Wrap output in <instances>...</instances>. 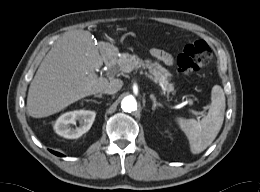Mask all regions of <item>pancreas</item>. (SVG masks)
<instances>
[{"label": "pancreas", "mask_w": 260, "mask_h": 192, "mask_svg": "<svg viewBox=\"0 0 260 192\" xmlns=\"http://www.w3.org/2000/svg\"><path fill=\"white\" fill-rule=\"evenodd\" d=\"M127 65L134 68H147L149 72L164 86L168 93L174 91L173 84L169 83L171 73L159 63L151 62L148 59L144 61L134 54L122 53L118 59V67L121 69L123 66Z\"/></svg>", "instance_id": "obj_1"}]
</instances>
